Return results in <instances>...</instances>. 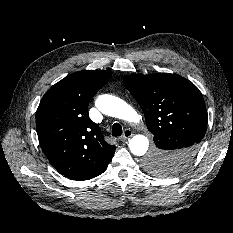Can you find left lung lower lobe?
<instances>
[{"mask_svg":"<svg viewBox=\"0 0 233 233\" xmlns=\"http://www.w3.org/2000/svg\"><path fill=\"white\" fill-rule=\"evenodd\" d=\"M153 139L161 150L172 154L169 160L178 167L185 168L196 155L193 141L183 135L162 133L155 135Z\"/></svg>","mask_w":233,"mask_h":233,"instance_id":"0a47b994","label":"left lung lower lobe"}]
</instances>
